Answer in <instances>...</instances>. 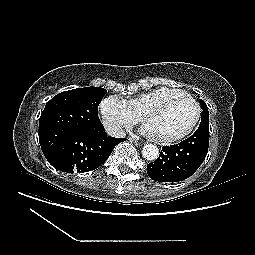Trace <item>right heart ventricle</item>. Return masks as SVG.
Segmentation results:
<instances>
[{
	"mask_svg": "<svg viewBox=\"0 0 255 255\" xmlns=\"http://www.w3.org/2000/svg\"><path fill=\"white\" fill-rule=\"evenodd\" d=\"M180 89L171 88V87H158L154 89H150L148 91L142 92L126 102L129 104L131 109L140 116L143 112L155 101L159 98L163 97L164 95L171 93L173 91H177Z\"/></svg>",
	"mask_w": 255,
	"mask_h": 255,
	"instance_id": "obj_1",
	"label": "right heart ventricle"
}]
</instances>
